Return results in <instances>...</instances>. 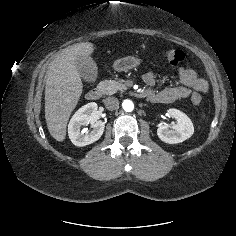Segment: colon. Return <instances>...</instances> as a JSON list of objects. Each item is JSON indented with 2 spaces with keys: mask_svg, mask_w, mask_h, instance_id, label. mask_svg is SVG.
<instances>
[{
  "mask_svg": "<svg viewBox=\"0 0 236 236\" xmlns=\"http://www.w3.org/2000/svg\"><path fill=\"white\" fill-rule=\"evenodd\" d=\"M161 53L164 60L173 66L178 65L184 60V53L175 48L164 47ZM191 100L193 104L199 105L202 101V97L200 94L194 92L191 96Z\"/></svg>",
  "mask_w": 236,
  "mask_h": 236,
  "instance_id": "5ec220e1",
  "label": "colon"
}]
</instances>
